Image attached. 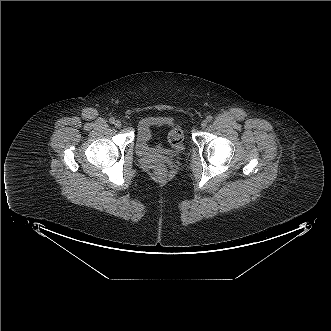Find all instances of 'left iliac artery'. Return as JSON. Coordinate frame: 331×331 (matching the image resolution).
Instances as JSON below:
<instances>
[{"label": "left iliac artery", "instance_id": "left-iliac-artery-1", "mask_svg": "<svg viewBox=\"0 0 331 331\" xmlns=\"http://www.w3.org/2000/svg\"><path fill=\"white\" fill-rule=\"evenodd\" d=\"M206 119H207V121H209V122H210V121H212L213 117H212L211 115H209V116H207V118H206Z\"/></svg>", "mask_w": 331, "mask_h": 331}]
</instances>
